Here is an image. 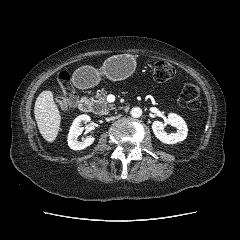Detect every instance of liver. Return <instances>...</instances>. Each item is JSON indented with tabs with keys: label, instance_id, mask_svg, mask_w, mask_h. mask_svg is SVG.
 Returning <instances> with one entry per match:
<instances>
[{
	"label": "liver",
	"instance_id": "liver-1",
	"mask_svg": "<svg viewBox=\"0 0 240 240\" xmlns=\"http://www.w3.org/2000/svg\"><path fill=\"white\" fill-rule=\"evenodd\" d=\"M34 115L38 129L47 142H54L61 123V115L49 90L42 91L36 99Z\"/></svg>",
	"mask_w": 240,
	"mask_h": 240
}]
</instances>
